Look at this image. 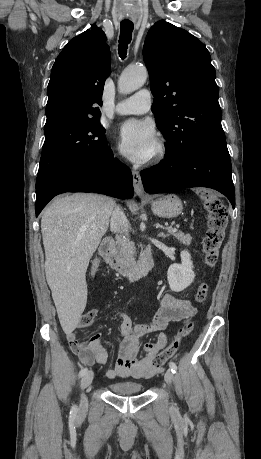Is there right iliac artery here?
I'll list each match as a JSON object with an SVG mask.
<instances>
[{
    "label": "right iliac artery",
    "instance_id": "82829eb1",
    "mask_svg": "<svg viewBox=\"0 0 261 459\" xmlns=\"http://www.w3.org/2000/svg\"><path fill=\"white\" fill-rule=\"evenodd\" d=\"M88 371L87 368H82L79 372V377H82L86 374V372ZM73 414L76 412V406H73L72 407V411H71Z\"/></svg>",
    "mask_w": 261,
    "mask_h": 459
}]
</instances>
